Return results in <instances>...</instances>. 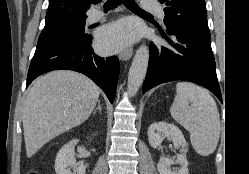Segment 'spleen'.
<instances>
[{
    "label": "spleen",
    "instance_id": "1",
    "mask_svg": "<svg viewBox=\"0 0 249 174\" xmlns=\"http://www.w3.org/2000/svg\"><path fill=\"white\" fill-rule=\"evenodd\" d=\"M172 118L190 133L195 151L201 156L212 154L220 137V117L213 97L193 83L180 82L170 108Z\"/></svg>",
    "mask_w": 249,
    "mask_h": 174
}]
</instances>
